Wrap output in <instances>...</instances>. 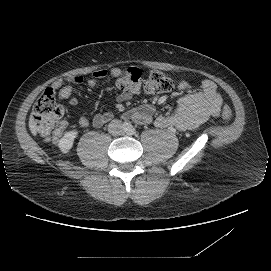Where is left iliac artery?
<instances>
[{"instance_id":"1","label":"left iliac artery","mask_w":271,"mask_h":271,"mask_svg":"<svg viewBox=\"0 0 271 271\" xmlns=\"http://www.w3.org/2000/svg\"><path fill=\"white\" fill-rule=\"evenodd\" d=\"M129 133H130L131 135H132V134H135V133H136L135 128H130Z\"/></svg>"}]
</instances>
